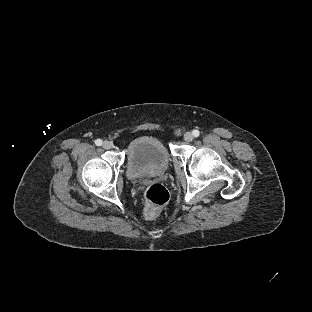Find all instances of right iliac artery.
Returning a JSON list of instances; mask_svg holds the SVG:
<instances>
[{"instance_id":"82829eb1","label":"right iliac artery","mask_w":312,"mask_h":312,"mask_svg":"<svg viewBox=\"0 0 312 312\" xmlns=\"http://www.w3.org/2000/svg\"><path fill=\"white\" fill-rule=\"evenodd\" d=\"M95 144H96L97 146H101V145H102V140H101V139H97V140L95 141Z\"/></svg>"}]
</instances>
